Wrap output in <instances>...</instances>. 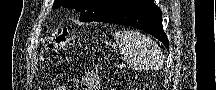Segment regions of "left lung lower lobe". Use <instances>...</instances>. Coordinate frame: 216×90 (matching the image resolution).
<instances>
[{
	"label": "left lung lower lobe",
	"mask_w": 216,
	"mask_h": 90,
	"mask_svg": "<svg viewBox=\"0 0 216 90\" xmlns=\"http://www.w3.org/2000/svg\"><path fill=\"white\" fill-rule=\"evenodd\" d=\"M94 21L141 29L156 37L169 48V42L162 26L161 9L155 5L153 0H128L124 5L104 13Z\"/></svg>",
	"instance_id": "obj_1"
}]
</instances>
